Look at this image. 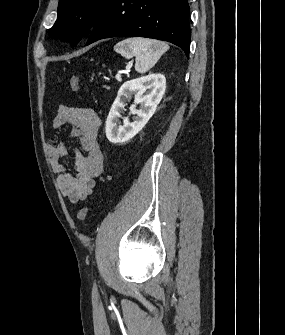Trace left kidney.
<instances>
[{
    "mask_svg": "<svg viewBox=\"0 0 285 335\" xmlns=\"http://www.w3.org/2000/svg\"><path fill=\"white\" fill-rule=\"evenodd\" d=\"M149 90V92H147ZM166 90V78L163 74H149L143 78L124 82L118 90L117 98L112 104L109 116L106 120V136L112 144H124L134 138L150 118H152L158 104H160ZM134 94V104L130 108V114H134V122H129V118H123V126H119V118L125 102L123 98H130ZM146 94V96H143ZM137 104H141L140 110H136Z\"/></svg>",
    "mask_w": 285,
    "mask_h": 335,
    "instance_id": "obj_1",
    "label": "left kidney"
}]
</instances>
